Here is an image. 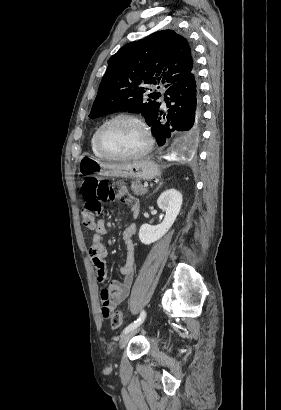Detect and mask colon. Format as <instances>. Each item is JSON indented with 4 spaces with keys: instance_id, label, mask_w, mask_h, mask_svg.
Wrapping results in <instances>:
<instances>
[{
    "instance_id": "1",
    "label": "colon",
    "mask_w": 281,
    "mask_h": 410,
    "mask_svg": "<svg viewBox=\"0 0 281 410\" xmlns=\"http://www.w3.org/2000/svg\"><path fill=\"white\" fill-rule=\"evenodd\" d=\"M122 186H110L107 181L99 178H87L82 185V222L86 227L95 224L96 216L101 212L102 201H113L118 195H124ZM123 325V313L116 311L111 317V327L118 330Z\"/></svg>"
}]
</instances>
